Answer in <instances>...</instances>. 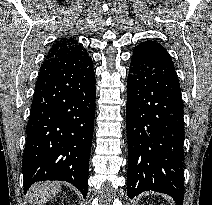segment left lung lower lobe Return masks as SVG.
Returning a JSON list of instances; mask_svg holds the SVG:
<instances>
[{"label": "left lung lower lobe", "mask_w": 212, "mask_h": 205, "mask_svg": "<svg viewBox=\"0 0 212 205\" xmlns=\"http://www.w3.org/2000/svg\"><path fill=\"white\" fill-rule=\"evenodd\" d=\"M127 193L153 190L182 205L183 102L174 64L166 49L146 41L135 47L127 82Z\"/></svg>", "instance_id": "1"}]
</instances>
